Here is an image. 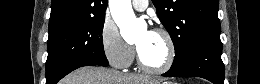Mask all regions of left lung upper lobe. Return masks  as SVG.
<instances>
[{
  "instance_id": "5c2ea615",
  "label": "left lung upper lobe",
  "mask_w": 260,
  "mask_h": 84,
  "mask_svg": "<svg viewBox=\"0 0 260 84\" xmlns=\"http://www.w3.org/2000/svg\"><path fill=\"white\" fill-rule=\"evenodd\" d=\"M175 47L172 66L196 46L220 40L218 0H152Z\"/></svg>"
}]
</instances>
